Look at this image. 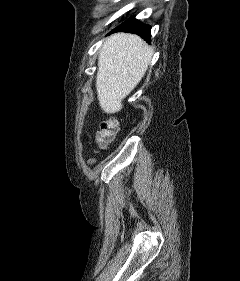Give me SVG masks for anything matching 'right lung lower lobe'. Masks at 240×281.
<instances>
[{"label": "right lung lower lobe", "mask_w": 240, "mask_h": 281, "mask_svg": "<svg viewBox=\"0 0 240 281\" xmlns=\"http://www.w3.org/2000/svg\"><path fill=\"white\" fill-rule=\"evenodd\" d=\"M150 29L151 27L149 25L140 23L139 20L135 19V16H132L128 20L123 22L119 27L114 29V31L134 33L141 36L147 42H150V38H151Z\"/></svg>", "instance_id": "1"}]
</instances>
